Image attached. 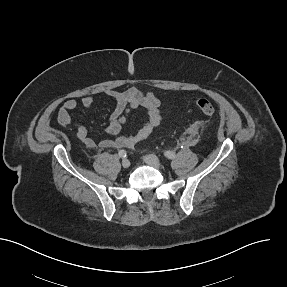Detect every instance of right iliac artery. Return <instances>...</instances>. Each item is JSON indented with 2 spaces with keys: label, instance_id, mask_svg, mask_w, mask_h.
<instances>
[{
  "label": "right iliac artery",
  "instance_id": "1",
  "mask_svg": "<svg viewBox=\"0 0 287 287\" xmlns=\"http://www.w3.org/2000/svg\"><path fill=\"white\" fill-rule=\"evenodd\" d=\"M118 155H119V157H121V158H125V157L127 156V153H126L125 150H120V151L118 152Z\"/></svg>",
  "mask_w": 287,
  "mask_h": 287
}]
</instances>
